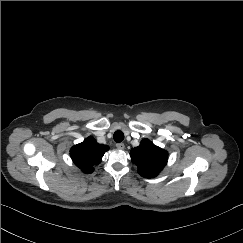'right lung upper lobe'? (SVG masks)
<instances>
[{
    "mask_svg": "<svg viewBox=\"0 0 243 243\" xmlns=\"http://www.w3.org/2000/svg\"><path fill=\"white\" fill-rule=\"evenodd\" d=\"M107 145L98 144L93 137H88L82 143L73 146L70 156L77 167L84 173H92L93 166L98 165L106 151Z\"/></svg>",
    "mask_w": 243,
    "mask_h": 243,
    "instance_id": "cb5924a9",
    "label": "right lung upper lobe"
}]
</instances>
